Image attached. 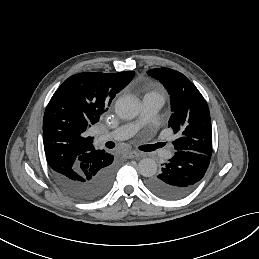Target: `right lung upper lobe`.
Segmentation results:
<instances>
[{
    "label": "right lung upper lobe",
    "instance_id": "1",
    "mask_svg": "<svg viewBox=\"0 0 259 259\" xmlns=\"http://www.w3.org/2000/svg\"><path fill=\"white\" fill-rule=\"evenodd\" d=\"M135 72H84L65 80L48 103L43 119L46 159L55 172L67 174L99 156L86 130L99 121L114 96Z\"/></svg>",
    "mask_w": 259,
    "mask_h": 259
}]
</instances>
